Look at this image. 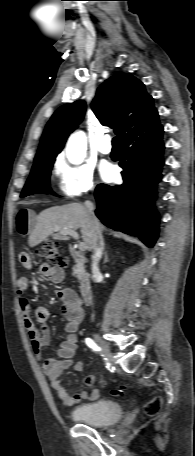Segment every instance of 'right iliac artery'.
<instances>
[{
    "label": "right iliac artery",
    "mask_w": 195,
    "mask_h": 456,
    "mask_svg": "<svg viewBox=\"0 0 195 456\" xmlns=\"http://www.w3.org/2000/svg\"><path fill=\"white\" fill-rule=\"evenodd\" d=\"M85 343L87 344L88 347H90L93 351H99L100 348L97 346V344L91 339V338H86Z\"/></svg>",
    "instance_id": "1"
}]
</instances>
